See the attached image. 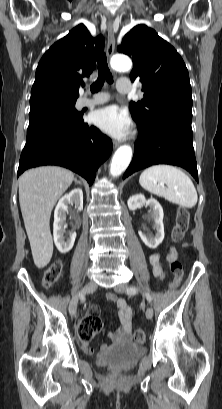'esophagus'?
<instances>
[{
    "instance_id": "1",
    "label": "esophagus",
    "mask_w": 222,
    "mask_h": 409,
    "mask_svg": "<svg viewBox=\"0 0 222 409\" xmlns=\"http://www.w3.org/2000/svg\"><path fill=\"white\" fill-rule=\"evenodd\" d=\"M115 30L116 25L111 21L108 22V44H107V56L112 57L115 49ZM119 146L118 142L113 143V147L117 148Z\"/></svg>"
}]
</instances>
